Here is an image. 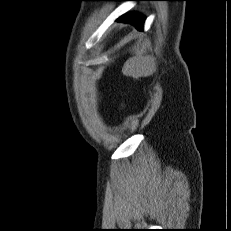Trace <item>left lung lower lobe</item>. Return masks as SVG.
Wrapping results in <instances>:
<instances>
[{
	"mask_svg": "<svg viewBox=\"0 0 231 231\" xmlns=\"http://www.w3.org/2000/svg\"><path fill=\"white\" fill-rule=\"evenodd\" d=\"M113 1H122V0H113ZM144 17L137 13H130L121 16L117 21L119 22H125L130 23L134 25L138 30H142L143 23H144Z\"/></svg>",
	"mask_w": 231,
	"mask_h": 231,
	"instance_id": "1",
	"label": "left lung lower lobe"
}]
</instances>
